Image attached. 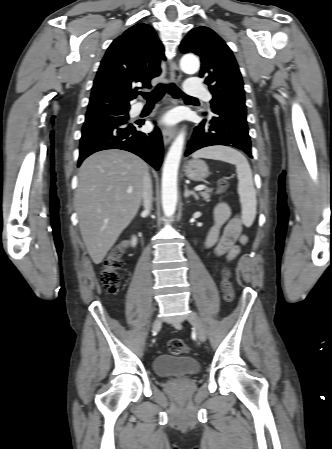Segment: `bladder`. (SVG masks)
<instances>
[{"instance_id": "31cf9c89", "label": "bladder", "mask_w": 332, "mask_h": 449, "mask_svg": "<svg viewBox=\"0 0 332 449\" xmlns=\"http://www.w3.org/2000/svg\"><path fill=\"white\" fill-rule=\"evenodd\" d=\"M153 370L162 378L179 375H196L201 366L197 359L189 356H171L161 354L154 358Z\"/></svg>"}]
</instances>
